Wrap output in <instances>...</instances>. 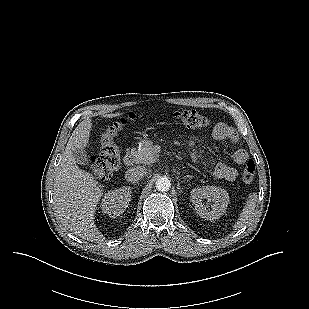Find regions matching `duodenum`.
Returning a JSON list of instances; mask_svg holds the SVG:
<instances>
[{
	"label": "duodenum",
	"instance_id": "duodenum-1",
	"mask_svg": "<svg viewBox=\"0 0 309 309\" xmlns=\"http://www.w3.org/2000/svg\"><path fill=\"white\" fill-rule=\"evenodd\" d=\"M135 159H136L135 152L130 150L124 156V164L126 166H131L135 162Z\"/></svg>",
	"mask_w": 309,
	"mask_h": 309
}]
</instances>
